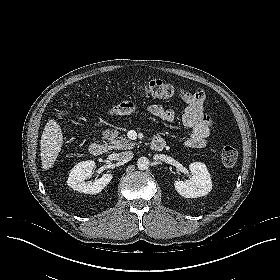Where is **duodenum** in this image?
I'll list each match as a JSON object with an SVG mask.
<instances>
[{
  "label": "duodenum",
  "instance_id": "duodenum-1",
  "mask_svg": "<svg viewBox=\"0 0 280 280\" xmlns=\"http://www.w3.org/2000/svg\"><path fill=\"white\" fill-rule=\"evenodd\" d=\"M150 147L152 150L161 151L165 147V141L161 137H156L152 140ZM106 149V144L101 141L93 142L89 146V152L96 157L103 155Z\"/></svg>",
  "mask_w": 280,
  "mask_h": 280
}]
</instances>
